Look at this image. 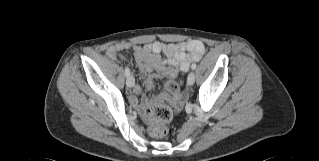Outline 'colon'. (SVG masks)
<instances>
[{
  "label": "colon",
  "mask_w": 319,
  "mask_h": 161,
  "mask_svg": "<svg viewBox=\"0 0 319 161\" xmlns=\"http://www.w3.org/2000/svg\"><path fill=\"white\" fill-rule=\"evenodd\" d=\"M178 90L177 81L171 77L162 92L157 96L158 103L149 111V134L154 138H162L169 134L168 122L172 118V110L168 103L169 98Z\"/></svg>",
  "instance_id": "obj_1"
}]
</instances>
